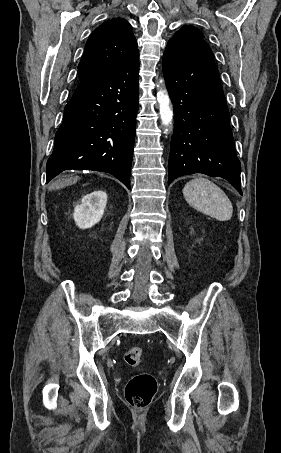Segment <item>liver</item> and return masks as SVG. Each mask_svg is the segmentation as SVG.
Here are the masks:
<instances>
[{"mask_svg": "<svg viewBox=\"0 0 281 453\" xmlns=\"http://www.w3.org/2000/svg\"><path fill=\"white\" fill-rule=\"evenodd\" d=\"M79 176H69V178H59V180H54L49 186V190H56V188H64V186H69V184H75Z\"/></svg>", "mask_w": 281, "mask_h": 453, "instance_id": "liver-1", "label": "liver"}]
</instances>
